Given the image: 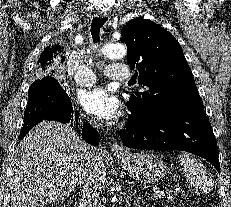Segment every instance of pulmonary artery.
<instances>
[{
	"label": "pulmonary artery",
	"instance_id": "1",
	"mask_svg": "<svg viewBox=\"0 0 231 207\" xmlns=\"http://www.w3.org/2000/svg\"><path fill=\"white\" fill-rule=\"evenodd\" d=\"M105 72L113 80H127L131 75L130 69L121 64L109 65ZM74 82L79 86H90L96 82V75L90 68L81 66L74 76Z\"/></svg>",
	"mask_w": 231,
	"mask_h": 207
}]
</instances>
